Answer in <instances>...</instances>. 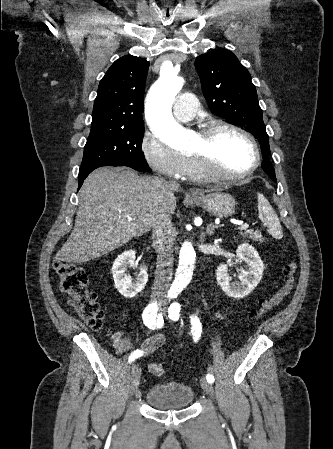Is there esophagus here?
<instances>
[{
    "label": "esophagus",
    "mask_w": 333,
    "mask_h": 449,
    "mask_svg": "<svg viewBox=\"0 0 333 449\" xmlns=\"http://www.w3.org/2000/svg\"><path fill=\"white\" fill-rule=\"evenodd\" d=\"M190 195L194 196V197H197V196H200L201 193H200V191L198 189L192 188V189H190Z\"/></svg>",
    "instance_id": "obj_1"
}]
</instances>
